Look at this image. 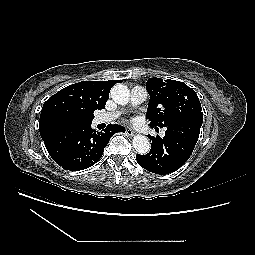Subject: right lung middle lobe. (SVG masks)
I'll return each mask as SVG.
<instances>
[{"label": "right lung middle lobe", "mask_w": 255, "mask_h": 255, "mask_svg": "<svg viewBox=\"0 0 255 255\" xmlns=\"http://www.w3.org/2000/svg\"><path fill=\"white\" fill-rule=\"evenodd\" d=\"M61 126L66 127V128H72V127L76 126V124L70 123V124H63Z\"/></svg>", "instance_id": "right-lung-middle-lobe-1"}]
</instances>
